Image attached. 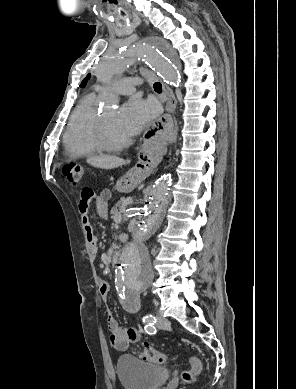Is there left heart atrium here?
I'll return each instance as SVG.
<instances>
[{
    "instance_id": "left-heart-atrium-1",
    "label": "left heart atrium",
    "mask_w": 296,
    "mask_h": 389,
    "mask_svg": "<svg viewBox=\"0 0 296 389\" xmlns=\"http://www.w3.org/2000/svg\"><path fill=\"white\" fill-rule=\"evenodd\" d=\"M157 115L156 106L149 101L134 97L119 111L118 125L128 137L137 135Z\"/></svg>"
}]
</instances>
